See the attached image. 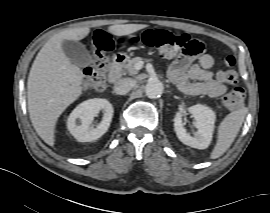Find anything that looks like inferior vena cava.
<instances>
[{
  "mask_svg": "<svg viewBox=\"0 0 270 213\" xmlns=\"http://www.w3.org/2000/svg\"><path fill=\"white\" fill-rule=\"evenodd\" d=\"M133 87V82L130 79H120L114 84V93L117 95H125Z\"/></svg>",
  "mask_w": 270,
  "mask_h": 213,
  "instance_id": "obj_1",
  "label": "inferior vena cava"
}]
</instances>
